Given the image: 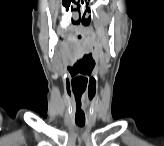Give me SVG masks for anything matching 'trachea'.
I'll return each mask as SVG.
<instances>
[{"label":"trachea","mask_w":164,"mask_h":146,"mask_svg":"<svg viewBox=\"0 0 164 146\" xmlns=\"http://www.w3.org/2000/svg\"><path fill=\"white\" fill-rule=\"evenodd\" d=\"M76 124L80 127H83L85 125V122L76 121Z\"/></svg>","instance_id":"3493384b"}]
</instances>
